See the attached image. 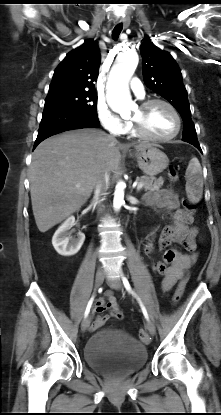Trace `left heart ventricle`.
I'll return each mask as SVG.
<instances>
[{
	"label": "left heart ventricle",
	"instance_id": "b2bd125f",
	"mask_svg": "<svg viewBox=\"0 0 221 415\" xmlns=\"http://www.w3.org/2000/svg\"><path fill=\"white\" fill-rule=\"evenodd\" d=\"M132 119L140 121L145 130L155 136H168L176 128L174 115L162 104H154L144 111L138 107Z\"/></svg>",
	"mask_w": 221,
	"mask_h": 415
}]
</instances>
